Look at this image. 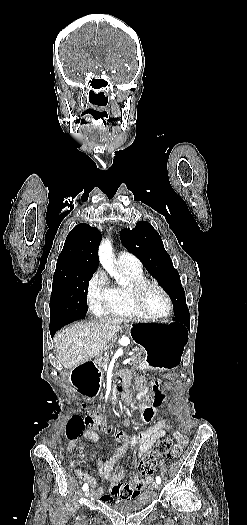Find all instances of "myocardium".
<instances>
[{
  "label": "myocardium",
  "mask_w": 247,
  "mask_h": 525,
  "mask_svg": "<svg viewBox=\"0 0 247 525\" xmlns=\"http://www.w3.org/2000/svg\"><path fill=\"white\" fill-rule=\"evenodd\" d=\"M147 284L155 285L163 293V295L165 296L166 302H167V306H166V308L163 311H161L159 313H154V312H151L150 310H148L144 306V304L142 302V298H141V291L144 288V286L147 285ZM129 288H130L132 297L134 299L135 306L140 311L145 313L148 317H154V319H161V318H164V317L168 316L170 314V312L172 311V307H173L172 299H171L169 293L167 292V290L165 289V287L159 281H157L156 279L142 278L139 281L130 283L129 284Z\"/></svg>",
  "instance_id": "1"
}]
</instances>
